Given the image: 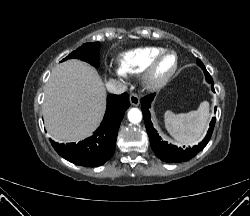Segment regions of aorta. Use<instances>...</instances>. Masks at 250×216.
Wrapping results in <instances>:
<instances>
[{
	"label": "aorta",
	"mask_w": 250,
	"mask_h": 216,
	"mask_svg": "<svg viewBox=\"0 0 250 216\" xmlns=\"http://www.w3.org/2000/svg\"><path fill=\"white\" fill-rule=\"evenodd\" d=\"M128 119L133 124H138L142 120V113L138 108H132L128 112Z\"/></svg>",
	"instance_id": "1"
}]
</instances>
